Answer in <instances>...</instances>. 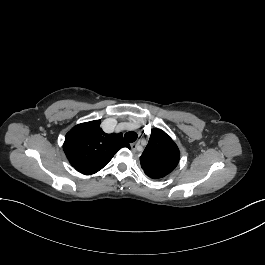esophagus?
<instances>
[{"label": "esophagus", "instance_id": "esophagus-1", "mask_svg": "<svg viewBox=\"0 0 265 265\" xmlns=\"http://www.w3.org/2000/svg\"><path fill=\"white\" fill-rule=\"evenodd\" d=\"M140 144V141H135L134 143L131 144V150L132 152H136L137 151V146Z\"/></svg>", "mask_w": 265, "mask_h": 265}]
</instances>
